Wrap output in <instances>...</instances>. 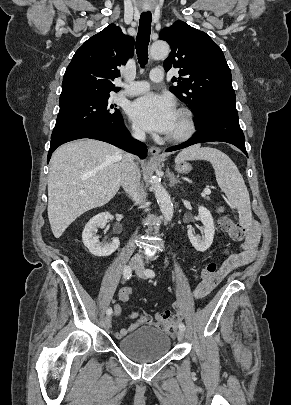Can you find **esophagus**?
I'll list each match as a JSON object with an SVG mask.
<instances>
[{
    "mask_svg": "<svg viewBox=\"0 0 291 405\" xmlns=\"http://www.w3.org/2000/svg\"><path fill=\"white\" fill-rule=\"evenodd\" d=\"M149 152L152 156V158L154 159H159L160 158V154H161V148L157 147V146H151L149 149Z\"/></svg>",
    "mask_w": 291,
    "mask_h": 405,
    "instance_id": "obj_1",
    "label": "esophagus"
}]
</instances>
